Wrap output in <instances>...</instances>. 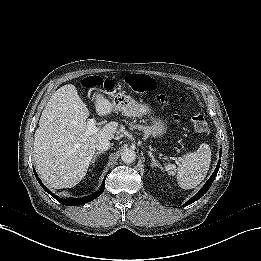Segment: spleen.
Returning a JSON list of instances; mask_svg holds the SVG:
<instances>
[{
  "label": "spleen",
  "mask_w": 261,
  "mask_h": 261,
  "mask_svg": "<svg viewBox=\"0 0 261 261\" xmlns=\"http://www.w3.org/2000/svg\"><path fill=\"white\" fill-rule=\"evenodd\" d=\"M211 163V151L207 144H202L194 151L183 155L181 165H165L169 175L177 174V181L183 189H193L206 177Z\"/></svg>",
  "instance_id": "spleen-1"
}]
</instances>
